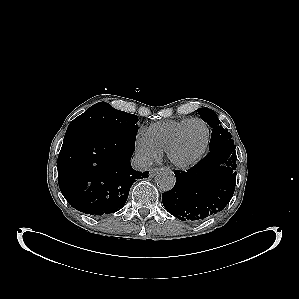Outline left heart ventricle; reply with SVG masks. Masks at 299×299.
Returning a JSON list of instances; mask_svg holds the SVG:
<instances>
[{
	"label": "left heart ventricle",
	"instance_id": "b2bd125f",
	"mask_svg": "<svg viewBox=\"0 0 299 299\" xmlns=\"http://www.w3.org/2000/svg\"><path fill=\"white\" fill-rule=\"evenodd\" d=\"M206 136L205 127L199 122L189 124L173 152L175 159L186 161L192 158L202 147Z\"/></svg>",
	"mask_w": 299,
	"mask_h": 299
}]
</instances>
